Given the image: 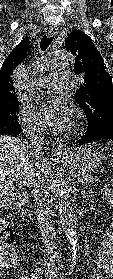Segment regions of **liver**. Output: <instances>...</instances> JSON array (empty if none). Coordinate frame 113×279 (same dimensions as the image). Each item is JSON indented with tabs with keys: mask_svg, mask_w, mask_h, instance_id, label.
Segmentation results:
<instances>
[{
	"mask_svg": "<svg viewBox=\"0 0 113 279\" xmlns=\"http://www.w3.org/2000/svg\"><path fill=\"white\" fill-rule=\"evenodd\" d=\"M46 167V162L26 142L0 135V209L14 199L15 184L32 186L38 171L48 174Z\"/></svg>",
	"mask_w": 113,
	"mask_h": 279,
	"instance_id": "liver-1",
	"label": "liver"
}]
</instances>
